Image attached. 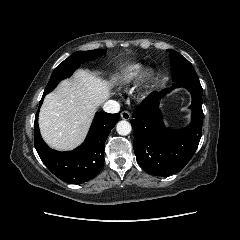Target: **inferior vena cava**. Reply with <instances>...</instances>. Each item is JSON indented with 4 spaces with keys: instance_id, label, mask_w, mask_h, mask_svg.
I'll return each instance as SVG.
<instances>
[{
    "instance_id": "inferior-vena-cava-1",
    "label": "inferior vena cava",
    "mask_w": 240,
    "mask_h": 240,
    "mask_svg": "<svg viewBox=\"0 0 240 240\" xmlns=\"http://www.w3.org/2000/svg\"><path fill=\"white\" fill-rule=\"evenodd\" d=\"M103 110L107 113H117L120 111V104L114 100H108L103 105Z\"/></svg>"
}]
</instances>
